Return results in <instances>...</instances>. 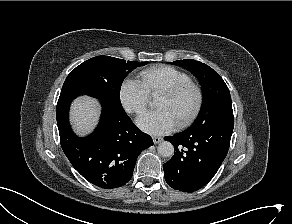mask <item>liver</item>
I'll return each mask as SVG.
<instances>
[{
	"instance_id": "6515ba94",
	"label": "liver",
	"mask_w": 292,
	"mask_h": 224,
	"mask_svg": "<svg viewBox=\"0 0 292 224\" xmlns=\"http://www.w3.org/2000/svg\"><path fill=\"white\" fill-rule=\"evenodd\" d=\"M100 109L98 103L89 97L76 99L71 106L70 120L75 132L84 136L91 132L97 123Z\"/></svg>"
}]
</instances>
